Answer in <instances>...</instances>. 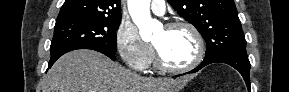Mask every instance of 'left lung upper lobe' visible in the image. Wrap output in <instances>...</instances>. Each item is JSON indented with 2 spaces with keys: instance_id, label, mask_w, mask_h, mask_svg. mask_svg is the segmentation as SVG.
I'll list each match as a JSON object with an SVG mask.
<instances>
[{
  "instance_id": "5c2ea615",
  "label": "left lung upper lobe",
  "mask_w": 289,
  "mask_h": 92,
  "mask_svg": "<svg viewBox=\"0 0 289 92\" xmlns=\"http://www.w3.org/2000/svg\"><path fill=\"white\" fill-rule=\"evenodd\" d=\"M207 43L205 58L219 54L247 55L246 40L234 0H168Z\"/></svg>"
}]
</instances>
